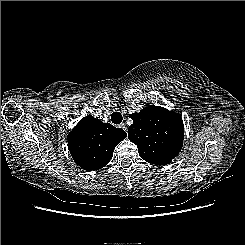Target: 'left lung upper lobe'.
<instances>
[{"instance_id": "1", "label": "left lung upper lobe", "mask_w": 245, "mask_h": 245, "mask_svg": "<svg viewBox=\"0 0 245 245\" xmlns=\"http://www.w3.org/2000/svg\"><path fill=\"white\" fill-rule=\"evenodd\" d=\"M133 124L128 139L141 157L152 164L167 165L182 149L184 126L179 113L160 106H148L130 115Z\"/></svg>"}]
</instances>
